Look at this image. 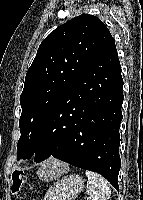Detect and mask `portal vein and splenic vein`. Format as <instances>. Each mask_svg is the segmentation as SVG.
Returning <instances> with one entry per match:
<instances>
[{
    "mask_svg": "<svg viewBox=\"0 0 143 200\" xmlns=\"http://www.w3.org/2000/svg\"><path fill=\"white\" fill-rule=\"evenodd\" d=\"M90 199H91L90 197L87 198V200H90Z\"/></svg>",
    "mask_w": 143,
    "mask_h": 200,
    "instance_id": "obj_1",
    "label": "portal vein and splenic vein"
}]
</instances>
